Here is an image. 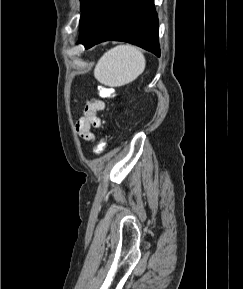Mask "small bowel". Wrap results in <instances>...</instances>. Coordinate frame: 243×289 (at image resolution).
<instances>
[{
	"label": "small bowel",
	"mask_w": 243,
	"mask_h": 289,
	"mask_svg": "<svg viewBox=\"0 0 243 289\" xmlns=\"http://www.w3.org/2000/svg\"><path fill=\"white\" fill-rule=\"evenodd\" d=\"M104 108L105 103L99 98H92L85 103L83 115L76 125V131L82 139L86 141L94 140V129L101 127L99 112Z\"/></svg>",
	"instance_id": "1"
}]
</instances>
